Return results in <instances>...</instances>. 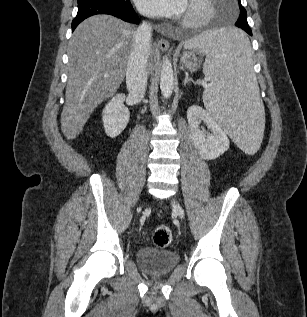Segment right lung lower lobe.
<instances>
[{
  "mask_svg": "<svg viewBox=\"0 0 307 317\" xmlns=\"http://www.w3.org/2000/svg\"><path fill=\"white\" fill-rule=\"evenodd\" d=\"M97 14H109L131 23H139L131 3L116 4L105 0H85L78 3L77 16L72 21V32L86 18Z\"/></svg>",
  "mask_w": 307,
  "mask_h": 317,
  "instance_id": "right-lung-lower-lobe-1",
  "label": "right lung lower lobe"
}]
</instances>
